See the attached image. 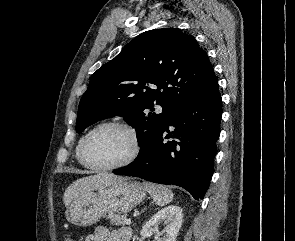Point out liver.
<instances>
[{
    "instance_id": "obj_1",
    "label": "liver",
    "mask_w": 295,
    "mask_h": 241,
    "mask_svg": "<svg viewBox=\"0 0 295 241\" xmlns=\"http://www.w3.org/2000/svg\"><path fill=\"white\" fill-rule=\"evenodd\" d=\"M119 180H123V178L109 173H99L80 178L70 184L65 190L63 196L64 205L68 207L74 198L90 190H97L103 185H109Z\"/></svg>"
}]
</instances>
